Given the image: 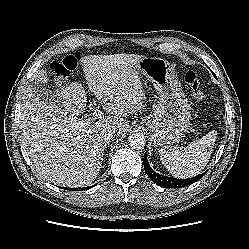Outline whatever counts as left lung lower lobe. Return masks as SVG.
Masks as SVG:
<instances>
[{"label": "left lung lower lobe", "mask_w": 249, "mask_h": 249, "mask_svg": "<svg viewBox=\"0 0 249 249\" xmlns=\"http://www.w3.org/2000/svg\"><path fill=\"white\" fill-rule=\"evenodd\" d=\"M143 163H144V169H145L146 174L153 180L154 183L164 188H180V187H184L187 185H191L197 180H199L200 178H202L206 173L204 172L202 174H199L189 179H177V178L163 176L153 171L150 168L149 163L147 161V154H145L144 156Z\"/></svg>", "instance_id": "0a47b994"}]
</instances>
